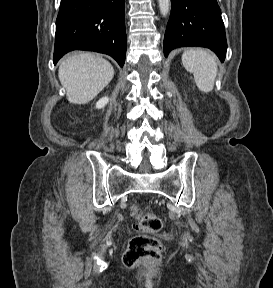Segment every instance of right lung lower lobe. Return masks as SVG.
Here are the masks:
<instances>
[{
	"label": "right lung lower lobe",
	"mask_w": 273,
	"mask_h": 288,
	"mask_svg": "<svg viewBox=\"0 0 273 288\" xmlns=\"http://www.w3.org/2000/svg\"><path fill=\"white\" fill-rule=\"evenodd\" d=\"M126 47L124 0H61L54 64L69 51L89 50L110 55L122 67Z\"/></svg>",
	"instance_id": "obj_1"
}]
</instances>
